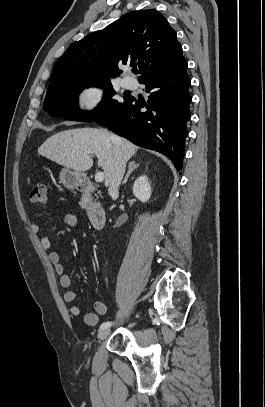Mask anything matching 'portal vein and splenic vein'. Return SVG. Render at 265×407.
<instances>
[{"label": "portal vein and splenic vein", "mask_w": 265, "mask_h": 407, "mask_svg": "<svg viewBox=\"0 0 265 407\" xmlns=\"http://www.w3.org/2000/svg\"><path fill=\"white\" fill-rule=\"evenodd\" d=\"M104 180V173L103 172H97L95 174V181L96 182H102Z\"/></svg>", "instance_id": "portal-vein-and-splenic-vein-1"}]
</instances>
